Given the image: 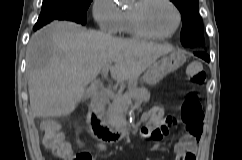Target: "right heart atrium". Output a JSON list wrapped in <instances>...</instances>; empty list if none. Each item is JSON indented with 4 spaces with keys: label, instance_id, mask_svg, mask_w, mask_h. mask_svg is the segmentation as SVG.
<instances>
[{
    "label": "right heart atrium",
    "instance_id": "d8ad5b80",
    "mask_svg": "<svg viewBox=\"0 0 242 160\" xmlns=\"http://www.w3.org/2000/svg\"><path fill=\"white\" fill-rule=\"evenodd\" d=\"M92 16L100 30L108 34L119 32L122 11L113 0H93Z\"/></svg>",
    "mask_w": 242,
    "mask_h": 160
}]
</instances>
